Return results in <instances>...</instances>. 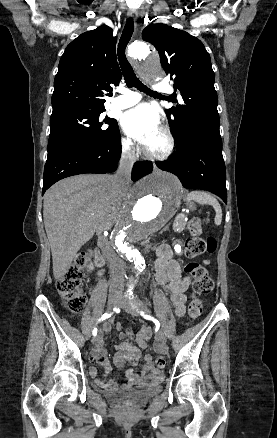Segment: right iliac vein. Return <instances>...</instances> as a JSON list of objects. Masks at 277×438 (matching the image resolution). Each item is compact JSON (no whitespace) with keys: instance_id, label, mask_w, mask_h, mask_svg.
I'll list each match as a JSON object with an SVG mask.
<instances>
[{"instance_id":"63e3f726","label":"right iliac vein","mask_w":277,"mask_h":438,"mask_svg":"<svg viewBox=\"0 0 277 438\" xmlns=\"http://www.w3.org/2000/svg\"><path fill=\"white\" fill-rule=\"evenodd\" d=\"M119 303V297L116 295H110L108 298V308L111 309L112 307L116 306ZM100 335H96L92 339L93 344H97L100 342Z\"/></svg>"}]
</instances>
